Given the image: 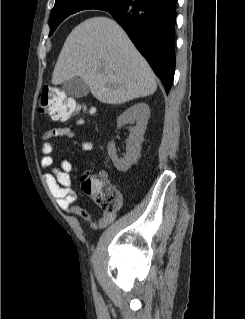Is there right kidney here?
Instances as JSON below:
<instances>
[{
  "label": "right kidney",
  "mask_w": 245,
  "mask_h": 319,
  "mask_svg": "<svg viewBox=\"0 0 245 319\" xmlns=\"http://www.w3.org/2000/svg\"><path fill=\"white\" fill-rule=\"evenodd\" d=\"M149 114L150 109L146 103H137L118 118V129L128 123H136V125L131 128L130 136L126 140V155L124 158H118L114 141L109 142L107 146L108 154L117 170L126 172L139 158Z\"/></svg>",
  "instance_id": "ca27d5eb"
}]
</instances>
